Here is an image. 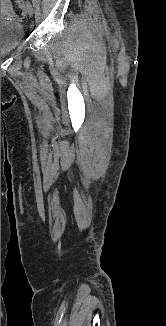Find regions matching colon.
Instances as JSON below:
<instances>
[{"label":"colon","mask_w":166,"mask_h":326,"mask_svg":"<svg viewBox=\"0 0 166 326\" xmlns=\"http://www.w3.org/2000/svg\"><path fill=\"white\" fill-rule=\"evenodd\" d=\"M15 5H16V7H18V8H22V7H23V2H22V0H15Z\"/></svg>","instance_id":"1"}]
</instances>
